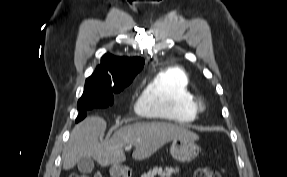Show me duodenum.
I'll return each instance as SVG.
<instances>
[{
	"label": "duodenum",
	"mask_w": 287,
	"mask_h": 177,
	"mask_svg": "<svg viewBox=\"0 0 287 177\" xmlns=\"http://www.w3.org/2000/svg\"><path fill=\"white\" fill-rule=\"evenodd\" d=\"M113 174L117 177H129L128 168L126 166L114 168Z\"/></svg>",
	"instance_id": "410a0bca"
}]
</instances>
